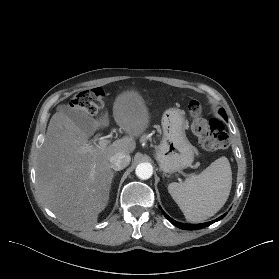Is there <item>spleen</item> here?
I'll return each instance as SVG.
<instances>
[{"label": "spleen", "mask_w": 279, "mask_h": 279, "mask_svg": "<svg viewBox=\"0 0 279 279\" xmlns=\"http://www.w3.org/2000/svg\"><path fill=\"white\" fill-rule=\"evenodd\" d=\"M232 186L229 160L222 156L183 183H170L168 192L187 221L200 223L214 216L226 203Z\"/></svg>", "instance_id": "3e777b00"}]
</instances>
